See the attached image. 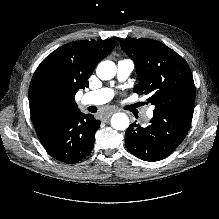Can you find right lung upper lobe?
<instances>
[{
  "mask_svg": "<svg viewBox=\"0 0 219 219\" xmlns=\"http://www.w3.org/2000/svg\"><path fill=\"white\" fill-rule=\"evenodd\" d=\"M115 47L112 40L75 41L49 54L36 69L29 87L32 119L44 113L78 110L75 94L89 86L96 65Z\"/></svg>",
  "mask_w": 219,
  "mask_h": 219,
  "instance_id": "right-lung-upper-lobe-1",
  "label": "right lung upper lobe"
}]
</instances>
